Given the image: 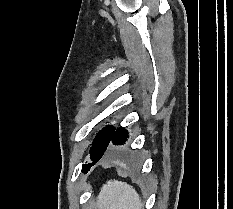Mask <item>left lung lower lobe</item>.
<instances>
[{
    "instance_id": "obj_1",
    "label": "left lung lower lobe",
    "mask_w": 233,
    "mask_h": 209,
    "mask_svg": "<svg viewBox=\"0 0 233 209\" xmlns=\"http://www.w3.org/2000/svg\"><path fill=\"white\" fill-rule=\"evenodd\" d=\"M127 134L128 132L123 127H119L116 131H114L111 140L109 142V145L111 146V142L115 145L122 144L127 139ZM91 159L94 163L100 160L99 158H91ZM94 163L83 165L82 172L86 174L90 170V167L94 165Z\"/></svg>"
}]
</instances>
